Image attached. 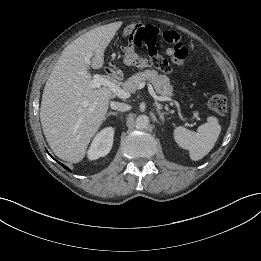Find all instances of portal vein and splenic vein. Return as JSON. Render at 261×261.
Here are the masks:
<instances>
[{
    "mask_svg": "<svg viewBox=\"0 0 261 261\" xmlns=\"http://www.w3.org/2000/svg\"><path fill=\"white\" fill-rule=\"evenodd\" d=\"M92 57V54H87L85 57V63L90 64V58ZM90 86L92 88H100L101 86H106L108 87L115 95H117L121 99H127L130 97V93L126 92L119 86H117L115 83L112 81L104 78L100 74H94L93 79L90 82ZM145 86V83L142 82L139 84V89L143 88ZM148 91L151 94V96L158 101H171L169 97H162V96H157L156 93L153 90V87L148 84Z\"/></svg>",
    "mask_w": 261,
    "mask_h": 261,
    "instance_id": "18ae733b",
    "label": "portal vein and splenic vein"
}]
</instances>
